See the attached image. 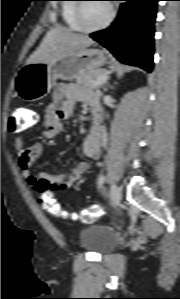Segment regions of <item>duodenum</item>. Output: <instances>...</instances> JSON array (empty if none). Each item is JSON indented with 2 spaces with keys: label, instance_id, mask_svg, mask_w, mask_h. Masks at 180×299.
I'll use <instances>...</instances> for the list:
<instances>
[{
  "label": "duodenum",
  "instance_id": "1",
  "mask_svg": "<svg viewBox=\"0 0 180 299\" xmlns=\"http://www.w3.org/2000/svg\"><path fill=\"white\" fill-rule=\"evenodd\" d=\"M95 122L97 123V122H98V119H95Z\"/></svg>",
  "mask_w": 180,
  "mask_h": 299
}]
</instances>
